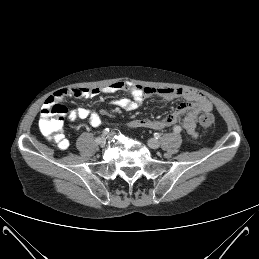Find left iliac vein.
<instances>
[{"instance_id": "left-iliac-vein-1", "label": "left iliac vein", "mask_w": 259, "mask_h": 259, "mask_svg": "<svg viewBox=\"0 0 259 259\" xmlns=\"http://www.w3.org/2000/svg\"><path fill=\"white\" fill-rule=\"evenodd\" d=\"M148 146L152 149H158L160 147V142L154 138L148 140Z\"/></svg>"}]
</instances>
